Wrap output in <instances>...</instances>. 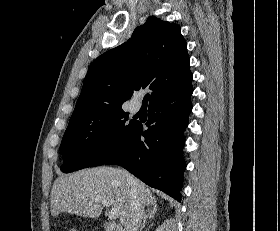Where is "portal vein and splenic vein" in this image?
<instances>
[{"label": "portal vein and splenic vein", "instance_id": "1", "mask_svg": "<svg viewBox=\"0 0 280 231\" xmlns=\"http://www.w3.org/2000/svg\"><path fill=\"white\" fill-rule=\"evenodd\" d=\"M96 201H101L103 205H110V201L108 199H96ZM119 213L117 207H112L110 211H108V217L109 219H117Z\"/></svg>", "mask_w": 280, "mask_h": 231}]
</instances>
